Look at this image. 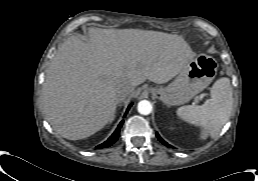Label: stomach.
<instances>
[{
	"label": "stomach",
	"instance_id": "stomach-1",
	"mask_svg": "<svg viewBox=\"0 0 258 181\" xmlns=\"http://www.w3.org/2000/svg\"><path fill=\"white\" fill-rule=\"evenodd\" d=\"M217 68L213 57L199 54L167 86L150 87L148 91L167 106L181 105L190 101L212 82Z\"/></svg>",
	"mask_w": 258,
	"mask_h": 181
}]
</instances>
